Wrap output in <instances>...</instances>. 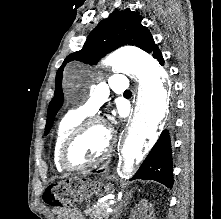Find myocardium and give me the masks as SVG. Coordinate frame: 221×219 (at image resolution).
I'll return each mask as SVG.
<instances>
[{
  "instance_id": "obj_1",
  "label": "myocardium",
  "mask_w": 221,
  "mask_h": 219,
  "mask_svg": "<svg viewBox=\"0 0 221 219\" xmlns=\"http://www.w3.org/2000/svg\"><path fill=\"white\" fill-rule=\"evenodd\" d=\"M92 125H100L106 130L107 136H108V142H107L106 148L104 152L96 159L88 163H84V164H74L71 162L70 157H69L70 150L73 144L82 134V132L86 128ZM115 142L116 140H115L114 133L111 127L104 121V119H102L99 116H92V117L85 118L83 121H81L77 126H75L71 130V132L68 134L67 138L63 142L62 147L60 149V154H59L60 163L66 170H69V171H81V170L94 167L100 164L101 162H103L112 153Z\"/></svg>"
}]
</instances>
